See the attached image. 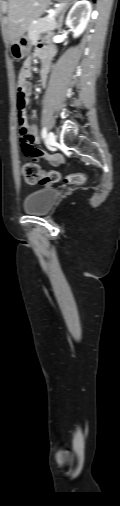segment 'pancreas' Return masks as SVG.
Listing matches in <instances>:
<instances>
[{"label":"pancreas","mask_w":120,"mask_h":506,"mask_svg":"<svg viewBox=\"0 0 120 506\" xmlns=\"http://www.w3.org/2000/svg\"><path fill=\"white\" fill-rule=\"evenodd\" d=\"M55 24V16L50 20L45 17L39 19L37 23H31L28 27V36L32 43H35L41 33L51 32L54 29Z\"/></svg>","instance_id":"1"}]
</instances>
